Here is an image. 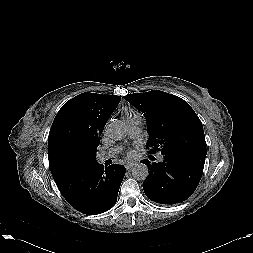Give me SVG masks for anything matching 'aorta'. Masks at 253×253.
<instances>
[{"instance_id": "1", "label": "aorta", "mask_w": 253, "mask_h": 253, "mask_svg": "<svg viewBox=\"0 0 253 253\" xmlns=\"http://www.w3.org/2000/svg\"><path fill=\"white\" fill-rule=\"evenodd\" d=\"M127 126L121 121H113L106 128V134L113 139H121L126 135ZM132 175L136 180H145L148 177V166L136 163L132 168Z\"/></svg>"}]
</instances>
